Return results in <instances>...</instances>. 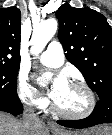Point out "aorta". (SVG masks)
Masks as SVG:
<instances>
[{"mask_svg": "<svg viewBox=\"0 0 112 135\" xmlns=\"http://www.w3.org/2000/svg\"><path fill=\"white\" fill-rule=\"evenodd\" d=\"M58 23L54 18L48 19L40 23L33 29L31 38V53L34 55L40 54L47 43L55 35L57 31Z\"/></svg>", "mask_w": 112, "mask_h": 135, "instance_id": "obj_1", "label": "aorta"}]
</instances>
